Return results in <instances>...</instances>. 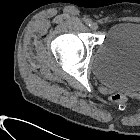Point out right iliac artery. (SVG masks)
Wrapping results in <instances>:
<instances>
[{"instance_id":"right-iliac-artery-1","label":"right iliac artery","mask_w":140,"mask_h":140,"mask_svg":"<svg viewBox=\"0 0 140 140\" xmlns=\"http://www.w3.org/2000/svg\"><path fill=\"white\" fill-rule=\"evenodd\" d=\"M84 21H85L86 25L91 26L92 21L90 19H85Z\"/></svg>"}]
</instances>
